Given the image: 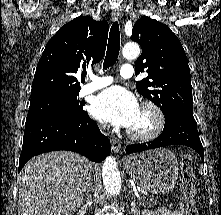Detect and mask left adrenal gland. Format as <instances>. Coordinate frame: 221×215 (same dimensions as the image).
Here are the masks:
<instances>
[{"label": "left adrenal gland", "mask_w": 221, "mask_h": 215, "mask_svg": "<svg viewBox=\"0 0 221 215\" xmlns=\"http://www.w3.org/2000/svg\"><path fill=\"white\" fill-rule=\"evenodd\" d=\"M128 187H129L128 193H132L133 194V190H132V187H131L130 184H128ZM134 198H135V196H134Z\"/></svg>", "instance_id": "left-adrenal-gland-1"}]
</instances>
